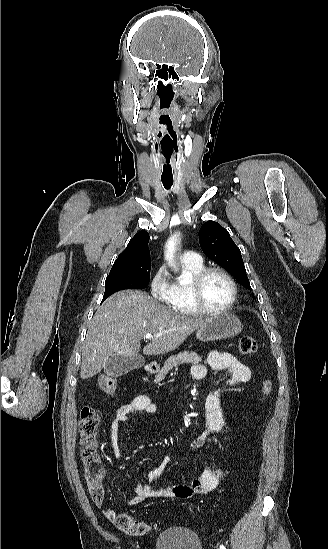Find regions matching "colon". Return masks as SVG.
<instances>
[{
    "label": "colon",
    "mask_w": 328,
    "mask_h": 549,
    "mask_svg": "<svg viewBox=\"0 0 328 549\" xmlns=\"http://www.w3.org/2000/svg\"><path fill=\"white\" fill-rule=\"evenodd\" d=\"M239 348L244 354H254L258 350L257 341L249 336L242 335L239 339ZM99 388L106 394L112 395L117 390V379L110 375H101L98 379ZM272 390V381L265 380L262 384V394L267 397ZM100 423L98 413L89 406L82 408L79 419L80 456L83 464L85 479L89 493L95 503H102L105 491L102 484L104 470L102 469L97 451V430ZM107 517L113 520L116 526L130 535H144L153 529V525L138 521L127 514L108 513Z\"/></svg>",
    "instance_id": "5ec220e1"
}]
</instances>
